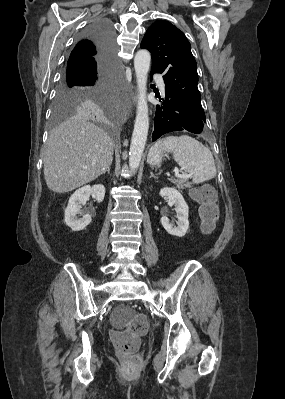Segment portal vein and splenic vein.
Wrapping results in <instances>:
<instances>
[{"label":"portal vein and splenic vein","instance_id":"portal-vein-and-splenic-vein-1","mask_svg":"<svg viewBox=\"0 0 285 399\" xmlns=\"http://www.w3.org/2000/svg\"><path fill=\"white\" fill-rule=\"evenodd\" d=\"M175 176H176V177H182V178H185V179L191 177V176L188 175V174H182V175H181V174L179 173V170H177V169L175 170Z\"/></svg>","mask_w":285,"mask_h":399}]
</instances>
